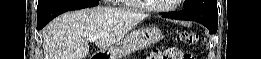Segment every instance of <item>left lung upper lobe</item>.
I'll return each instance as SVG.
<instances>
[{
  "label": "left lung upper lobe",
  "mask_w": 261,
  "mask_h": 59,
  "mask_svg": "<svg viewBox=\"0 0 261 59\" xmlns=\"http://www.w3.org/2000/svg\"><path fill=\"white\" fill-rule=\"evenodd\" d=\"M202 8L217 11V0H185L184 9Z\"/></svg>",
  "instance_id": "obj_1"
}]
</instances>
